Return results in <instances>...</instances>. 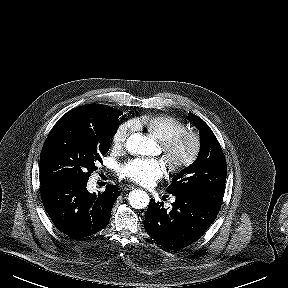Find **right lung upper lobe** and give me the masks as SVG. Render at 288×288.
<instances>
[{"label":"right lung upper lobe","mask_w":288,"mask_h":288,"mask_svg":"<svg viewBox=\"0 0 288 288\" xmlns=\"http://www.w3.org/2000/svg\"><path fill=\"white\" fill-rule=\"evenodd\" d=\"M100 106H102V105L101 104H87V105L77 107L71 111L72 112H87L91 115H94Z\"/></svg>","instance_id":"right-lung-upper-lobe-1"}]
</instances>
